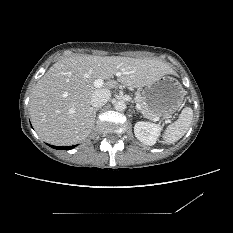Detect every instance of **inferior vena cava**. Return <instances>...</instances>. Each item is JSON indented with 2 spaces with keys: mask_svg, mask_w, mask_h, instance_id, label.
Wrapping results in <instances>:
<instances>
[{
  "mask_svg": "<svg viewBox=\"0 0 233 233\" xmlns=\"http://www.w3.org/2000/svg\"><path fill=\"white\" fill-rule=\"evenodd\" d=\"M111 97V92L108 89H100L95 91L91 96V105L95 108L105 105Z\"/></svg>",
  "mask_w": 233,
  "mask_h": 233,
  "instance_id": "obj_1",
  "label": "inferior vena cava"
}]
</instances>
